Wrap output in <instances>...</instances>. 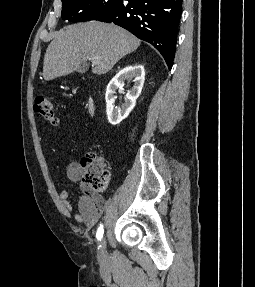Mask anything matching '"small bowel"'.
I'll return each instance as SVG.
<instances>
[{"label":"small bowel","mask_w":255,"mask_h":287,"mask_svg":"<svg viewBox=\"0 0 255 287\" xmlns=\"http://www.w3.org/2000/svg\"><path fill=\"white\" fill-rule=\"evenodd\" d=\"M66 176L73 183L80 184L81 196L78 201V211L75 220L87 227H92L99 219L100 212L105 207L102 196L89 192L82 183L83 168L78 162H71L66 167ZM69 193L62 190L58 193L61 210L66 217L70 216L72 207L68 200Z\"/></svg>","instance_id":"small-bowel-1"}]
</instances>
